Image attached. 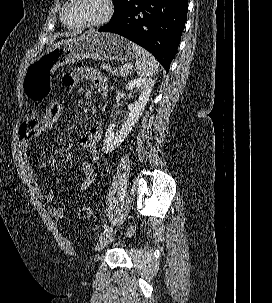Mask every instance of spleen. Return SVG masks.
<instances>
[{
  "label": "spleen",
  "mask_w": 272,
  "mask_h": 303,
  "mask_svg": "<svg viewBox=\"0 0 272 303\" xmlns=\"http://www.w3.org/2000/svg\"><path fill=\"white\" fill-rule=\"evenodd\" d=\"M132 48L140 57L135 64V71L141 77H152L158 72L157 60L145 49L132 43Z\"/></svg>",
  "instance_id": "1"
}]
</instances>
